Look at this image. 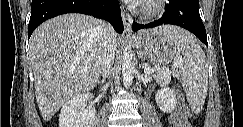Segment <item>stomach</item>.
I'll return each mask as SVG.
<instances>
[{
    "label": "stomach",
    "mask_w": 243,
    "mask_h": 127,
    "mask_svg": "<svg viewBox=\"0 0 243 127\" xmlns=\"http://www.w3.org/2000/svg\"><path fill=\"white\" fill-rule=\"evenodd\" d=\"M136 46L139 54L155 65L166 66L175 60L176 48L166 26L141 31L137 35Z\"/></svg>",
    "instance_id": "obj_1"
}]
</instances>
